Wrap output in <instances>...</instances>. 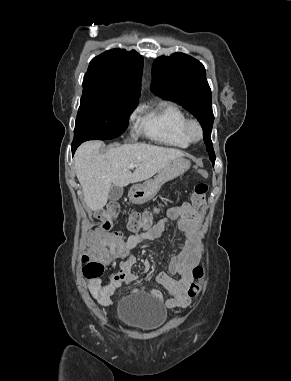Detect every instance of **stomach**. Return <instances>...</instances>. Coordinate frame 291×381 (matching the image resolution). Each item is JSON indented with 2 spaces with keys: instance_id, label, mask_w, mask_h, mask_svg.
Segmentation results:
<instances>
[{
  "instance_id": "stomach-1",
  "label": "stomach",
  "mask_w": 291,
  "mask_h": 381,
  "mask_svg": "<svg viewBox=\"0 0 291 381\" xmlns=\"http://www.w3.org/2000/svg\"><path fill=\"white\" fill-rule=\"evenodd\" d=\"M190 162L183 158L171 161L153 179L146 180L143 184L134 185L129 191V199L134 204H143L151 200L163 184L182 175L190 167Z\"/></svg>"
}]
</instances>
